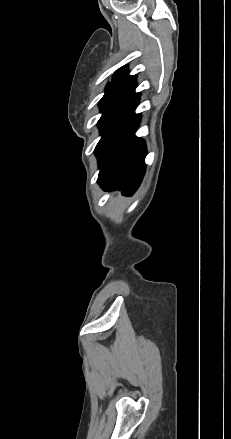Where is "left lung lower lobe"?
<instances>
[{
	"label": "left lung lower lobe",
	"mask_w": 231,
	"mask_h": 439,
	"mask_svg": "<svg viewBox=\"0 0 231 439\" xmlns=\"http://www.w3.org/2000/svg\"><path fill=\"white\" fill-rule=\"evenodd\" d=\"M140 94L131 92L98 122L102 138L95 148L99 163L98 183L103 189L137 190L145 173L144 140L135 136L140 115L135 114Z\"/></svg>",
	"instance_id": "left-lung-lower-lobe-1"
}]
</instances>
